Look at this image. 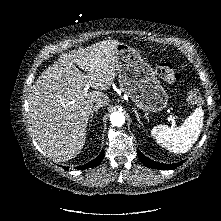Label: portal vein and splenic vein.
Returning <instances> with one entry per match:
<instances>
[{"label": "portal vein and splenic vein", "instance_id": "18ae733b", "mask_svg": "<svg viewBox=\"0 0 221 221\" xmlns=\"http://www.w3.org/2000/svg\"><path fill=\"white\" fill-rule=\"evenodd\" d=\"M84 90H88V87H85ZM169 120L171 121L172 126H175V120H174V118L170 117Z\"/></svg>", "mask_w": 221, "mask_h": 221}]
</instances>
